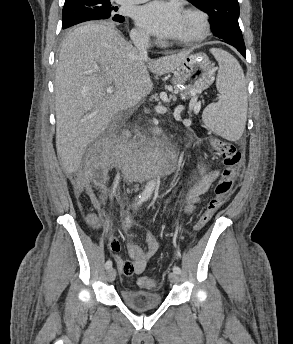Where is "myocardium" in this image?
<instances>
[{
  "label": "myocardium",
  "mask_w": 293,
  "mask_h": 344,
  "mask_svg": "<svg viewBox=\"0 0 293 344\" xmlns=\"http://www.w3.org/2000/svg\"><path fill=\"white\" fill-rule=\"evenodd\" d=\"M183 14L194 19L196 30L191 36L176 40L173 44L180 46L193 45L206 39L210 32V22L207 14L197 8H188Z\"/></svg>",
  "instance_id": "1"
}]
</instances>
